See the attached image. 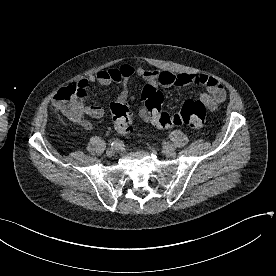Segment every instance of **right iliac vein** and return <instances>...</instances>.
<instances>
[{
    "mask_svg": "<svg viewBox=\"0 0 276 276\" xmlns=\"http://www.w3.org/2000/svg\"><path fill=\"white\" fill-rule=\"evenodd\" d=\"M121 148L119 147H111L107 149V155H113L115 152L120 151Z\"/></svg>",
    "mask_w": 276,
    "mask_h": 276,
    "instance_id": "obj_1",
    "label": "right iliac vein"
}]
</instances>
